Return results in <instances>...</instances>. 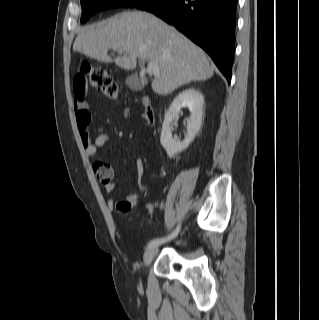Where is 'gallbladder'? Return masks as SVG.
<instances>
[{
	"mask_svg": "<svg viewBox=\"0 0 319 320\" xmlns=\"http://www.w3.org/2000/svg\"><path fill=\"white\" fill-rule=\"evenodd\" d=\"M146 83L147 81L144 78H141L136 74L130 75L126 79L127 86L134 91H140L141 89L144 88Z\"/></svg>",
	"mask_w": 319,
	"mask_h": 320,
	"instance_id": "gallbladder-1",
	"label": "gallbladder"
}]
</instances>
